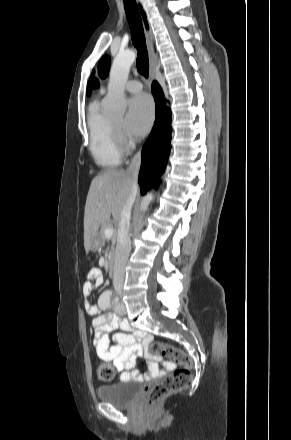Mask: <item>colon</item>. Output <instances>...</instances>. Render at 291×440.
Here are the masks:
<instances>
[{"label": "colon", "instance_id": "5ec220e1", "mask_svg": "<svg viewBox=\"0 0 291 440\" xmlns=\"http://www.w3.org/2000/svg\"><path fill=\"white\" fill-rule=\"evenodd\" d=\"M148 354L152 357L173 359L180 366L147 391L146 404L149 407H155L163 398L182 391L191 383L192 361L185 352L160 341H152L148 345ZM114 375L115 371L110 363H103L97 367L96 376L102 382L111 381Z\"/></svg>", "mask_w": 291, "mask_h": 440}]
</instances>
